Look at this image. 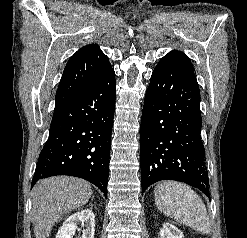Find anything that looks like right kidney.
<instances>
[{
	"instance_id": "1",
	"label": "right kidney",
	"mask_w": 247,
	"mask_h": 238,
	"mask_svg": "<svg viewBox=\"0 0 247 238\" xmlns=\"http://www.w3.org/2000/svg\"><path fill=\"white\" fill-rule=\"evenodd\" d=\"M81 224L83 229L82 238H94L95 235V215L92 210L84 209L69 216L58 230L56 238H73L75 231Z\"/></svg>"
}]
</instances>
